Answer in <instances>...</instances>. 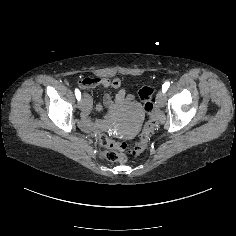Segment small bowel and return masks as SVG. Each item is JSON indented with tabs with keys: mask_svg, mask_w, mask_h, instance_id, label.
<instances>
[{
	"mask_svg": "<svg viewBox=\"0 0 236 236\" xmlns=\"http://www.w3.org/2000/svg\"><path fill=\"white\" fill-rule=\"evenodd\" d=\"M96 85H111L112 87H119V86H120V81H119L118 79H114L113 81L108 82L107 80L102 79L101 82H98V83H96V84H92V85H90V86H86V87H83V88L94 87V86H96ZM88 99L90 100L91 105H92V100H91V98H90L89 96H86V97H85V109H86V102H87ZM90 108H91V107H90ZM90 108H88V109L85 110L84 116L87 117ZM97 108H98V109H101L102 107L98 104V105H97Z\"/></svg>",
	"mask_w": 236,
	"mask_h": 236,
	"instance_id": "c3829d8e",
	"label": "small bowel"
}]
</instances>
